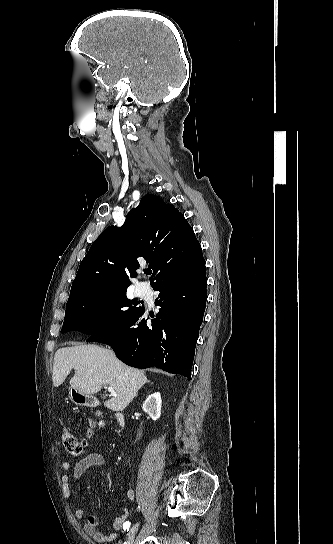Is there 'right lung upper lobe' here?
<instances>
[{
	"label": "right lung upper lobe",
	"instance_id": "1",
	"mask_svg": "<svg viewBox=\"0 0 333 544\" xmlns=\"http://www.w3.org/2000/svg\"><path fill=\"white\" fill-rule=\"evenodd\" d=\"M165 279L189 275L204 264L202 249L183 214L159 196L148 194L126 216L122 227H107L82 260L69 300L97 292L124 290L142 260Z\"/></svg>",
	"mask_w": 333,
	"mask_h": 544
}]
</instances>
